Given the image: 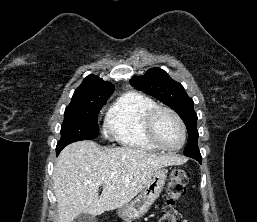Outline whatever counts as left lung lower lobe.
Masks as SVG:
<instances>
[{
    "label": "left lung lower lobe",
    "instance_id": "0a47b994",
    "mask_svg": "<svg viewBox=\"0 0 257 222\" xmlns=\"http://www.w3.org/2000/svg\"><path fill=\"white\" fill-rule=\"evenodd\" d=\"M196 160H197L199 163L202 162V158H197Z\"/></svg>",
    "mask_w": 257,
    "mask_h": 222
}]
</instances>
